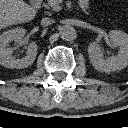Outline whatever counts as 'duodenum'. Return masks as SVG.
Here are the masks:
<instances>
[{
  "label": "duodenum",
  "mask_w": 128,
  "mask_h": 128,
  "mask_svg": "<svg viewBox=\"0 0 128 128\" xmlns=\"http://www.w3.org/2000/svg\"><path fill=\"white\" fill-rule=\"evenodd\" d=\"M41 2L42 0H31V3L35 8H39L41 6Z\"/></svg>",
  "instance_id": "obj_1"
}]
</instances>
